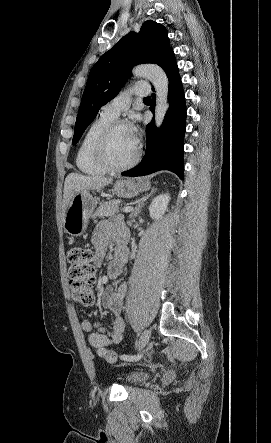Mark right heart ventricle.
Wrapping results in <instances>:
<instances>
[{
  "label": "right heart ventricle",
  "instance_id": "obj_1",
  "mask_svg": "<svg viewBox=\"0 0 271 443\" xmlns=\"http://www.w3.org/2000/svg\"><path fill=\"white\" fill-rule=\"evenodd\" d=\"M114 118L100 114L87 127L75 155L76 167L82 173L89 176H100L107 172L96 158L95 144L102 130Z\"/></svg>",
  "mask_w": 271,
  "mask_h": 443
}]
</instances>
